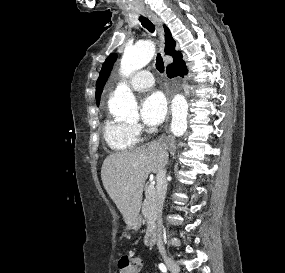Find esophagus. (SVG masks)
<instances>
[{
  "instance_id": "34e87169",
  "label": "esophagus",
  "mask_w": 285,
  "mask_h": 273,
  "mask_svg": "<svg viewBox=\"0 0 285 273\" xmlns=\"http://www.w3.org/2000/svg\"><path fill=\"white\" fill-rule=\"evenodd\" d=\"M146 15L152 21V23L155 25V27L157 29V32H158V36H159V39H160L161 46H162V48H164L165 39H164V29H163V22H162V20L157 15H155L152 12H148L147 11Z\"/></svg>"
}]
</instances>
